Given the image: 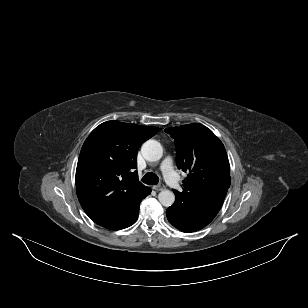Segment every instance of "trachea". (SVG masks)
I'll return each mask as SVG.
<instances>
[{
	"mask_svg": "<svg viewBox=\"0 0 308 308\" xmlns=\"http://www.w3.org/2000/svg\"><path fill=\"white\" fill-rule=\"evenodd\" d=\"M142 181L148 185H156L159 181V178L155 173L148 172L143 176Z\"/></svg>",
	"mask_w": 308,
	"mask_h": 308,
	"instance_id": "1",
	"label": "trachea"
}]
</instances>
